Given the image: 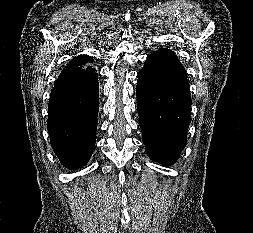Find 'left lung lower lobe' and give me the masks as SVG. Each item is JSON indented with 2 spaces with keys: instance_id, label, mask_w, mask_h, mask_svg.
Here are the masks:
<instances>
[{
  "instance_id": "obj_1",
  "label": "left lung lower lobe",
  "mask_w": 253,
  "mask_h": 233,
  "mask_svg": "<svg viewBox=\"0 0 253 233\" xmlns=\"http://www.w3.org/2000/svg\"><path fill=\"white\" fill-rule=\"evenodd\" d=\"M186 71L172 50L159 48L138 73L137 109L150 158L172 165L186 145L191 95Z\"/></svg>"
}]
</instances>
